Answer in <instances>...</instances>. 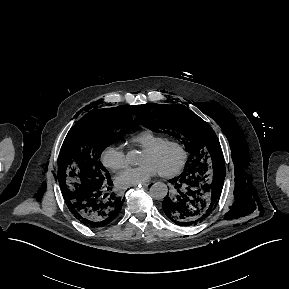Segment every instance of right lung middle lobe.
Here are the masks:
<instances>
[{
	"instance_id": "1",
	"label": "right lung middle lobe",
	"mask_w": 289,
	"mask_h": 289,
	"mask_svg": "<svg viewBox=\"0 0 289 289\" xmlns=\"http://www.w3.org/2000/svg\"><path fill=\"white\" fill-rule=\"evenodd\" d=\"M133 114L136 107L131 105L91 111L72 127L58 161V181L64 197L99 187L110 179L100 162L101 153L138 126Z\"/></svg>"
}]
</instances>
